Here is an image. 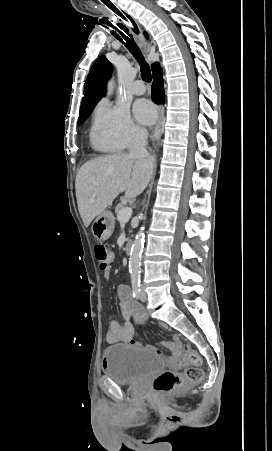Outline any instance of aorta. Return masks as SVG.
Segmentation results:
<instances>
[{
  "mask_svg": "<svg viewBox=\"0 0 272 451\" xmlns=\"http://www.w3.org/2000/svg\"><path fill=\"white\" fill-rule=\"evenodd\" d=\"M113 88H114V82L113 80H110L108 82V96H111L113 94ZM144 227H141L139 229L131 247L130 251V257H129V271L131 275V281H140V265H141V253L143 251V245H144V233H143Z\"/></svg>",
  "mask_w": 272,
  "mask_h": 451,
  "instance_id": "1",
  "label": "aorta"
}]
</instances>
